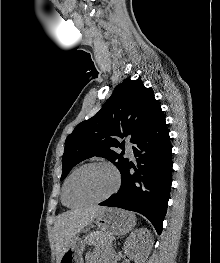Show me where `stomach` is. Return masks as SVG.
Instances as JSON below:
<instances>
[{
	"mask_svg": "<svg viewBox=\"0 0 220 263\" xmlns=\"http://www.w3.org/2000/svg\"><path fill=\"white\" fill-rule=\"evenodd\" d=\"M94 223L100 229L101 238L105 243L104 248L107 249L114 235H125L134 228L136 218L133 213L119 208H105L96 216ZM85 244V240L75 236L59 263H84Z\"/></svg>",
	"mask_w": 220,
	"mask_h": 263,
	"instance_id": "stomach-1",
	"label": "stomach"
}]
</instances>
